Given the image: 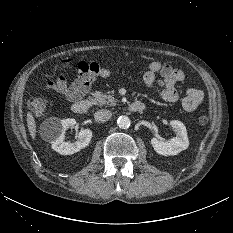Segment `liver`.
<instances>
[{"label":"liver","mask_w":233,"mask_h":233,"mask_svg":"<svg viewBox=\"0 0 233 233\" xmlns=\"http://www.w3.org/2000/svg\"><path fill=\"white\" fill-rule=\"evenodd\" d=\"M27 126L32 139L36 136V122L31 112L27 113Z\"/></svg>","instance_id":"1"}]
</instances>
